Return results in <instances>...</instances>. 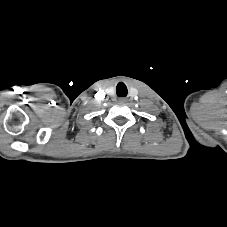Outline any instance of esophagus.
Wrapping results in <instances>:
<instances>
[{"label": "esophagus", "instance_id": "esophagus-1", "mask_svg": "<svg viewBox=\"0 0 227 227\" xmlns=\"http://www.w3.org/2000/svg\"><path fill=\"white\" fill-rule=\"evenodd\" d=\"M120 101L121 102H125V98H120Z\"/></svg>", "mask_w": 227, "mask_h": 227}]
</instances>
